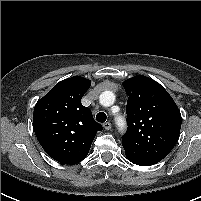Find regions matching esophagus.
Here are the masks:
<instances>
[{"mask_svg": "<svg viewBox=\"0 0 201 201\" xmlns=\"http://www.w3.org/2000/svg\"><path fill=\"white\" fill-rule=\"evenodd\" d=\"M103 127H104L105 130H110L111 129V123L110 122H105L103 124Z\"/></svg>", "mask_w": 201, "mask_h": 201, "instance_id": "34e87169", "label": "esophagus"}]
</instances>
